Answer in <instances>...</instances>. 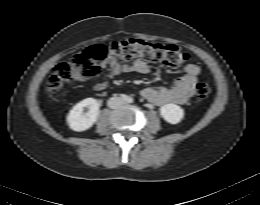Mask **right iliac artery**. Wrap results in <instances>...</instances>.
I'll list each match as a JSON object with an SVG mask.
<instances>
[{
  "mask_svg": "<svg viewBox=\"0 0 260 205\" xmlns=\"http://www.w3.org/2000/svg\"><path fill=\"white\" fill-rule=\"evenodd\" d=\"M120 98L122 99V101H127L128 100V96L125 95V94L121 95Z\"/></svg>",
  "mask_w": 260,
  "mask_h": 205,
  "instance_id": "obj_1",
  "label": "right iliac artery"
}]
</instances>
